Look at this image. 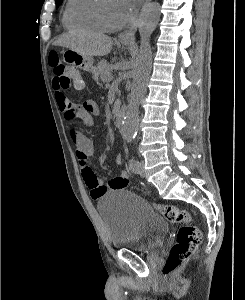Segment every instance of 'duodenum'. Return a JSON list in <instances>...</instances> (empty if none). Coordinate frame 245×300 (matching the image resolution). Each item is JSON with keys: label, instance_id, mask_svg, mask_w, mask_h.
Here are the masks:
<instances>
[{"label": "duodenum", "instance_id": "1", "mask_svg": "<svg viewBox=\"0 0 245 300\" xmlns=\"http://www.w3.org/2000/svg\"><path fill=\"white\" fill-rule=\"evenodd\" d=\"M123 119H124V112L122 110L117 111L114 117L115 126L118 128L122 127Z\"/></svg>", "mask_w": 245, "mask_h": 300}]
</instances>
